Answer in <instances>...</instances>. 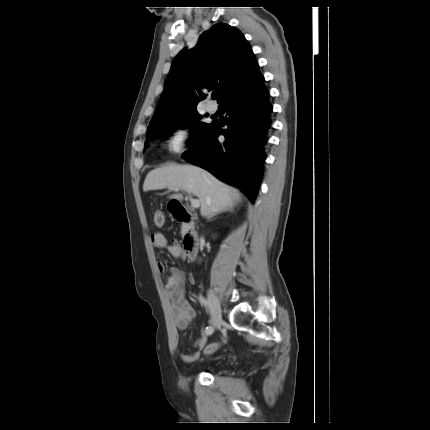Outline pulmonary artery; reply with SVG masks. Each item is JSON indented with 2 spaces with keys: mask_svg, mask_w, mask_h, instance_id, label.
<instances>
[{
  "mask_svg": "<svg viewBox=\"0 0 430 430\" xmlns=\"http://www.w3.org/2000/svg\"><path fill=\"white\" fill-rule=\"evenodd\" d=\"M206 109H207L209 112H215V111L217 110V106H216V104H215V103H213V102H208V103L206 104Z\"/></svg>",
  "mask_w": 430,
  "mask_h": 430,
  "instance_id": "1",
  "label": "pulmonary artery"
}]
</instances>
